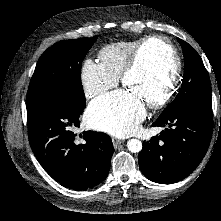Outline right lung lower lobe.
<instances>
[{
  "label": "right lung lower lobe",
  "instance_id": "right-lung-lower-lobe-1",
  "mask_svg": "<svg viewBox=\"0 0 221 221\" xmlns=\"http://www.w3.org/2000/svg\"><path fill=\"white\" fill-rule=\"evenodd\" d=\"M85 106L60 93L27 108L28 137L37 160L54 180L74 190L100 184L114 152L105 133L83 132L84 141L78 143L72 129L79 127Z\"/></svg>",
  "mask_w": 221,
  "mask_h": 221
}]
</instances>
